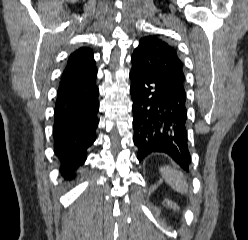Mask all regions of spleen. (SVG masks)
Instances as JSON below:
<instances>
[{"mask_svg": "<svg viewBox=\"0 0 248 240\" xmlns=\"http://www.w3.org/2000/svg\"><path fill=\"white\" fill-rule=\"evenodd\" d=\"M160 172L166 183H168L174 190L182 194L187 192V183L182 172L169 166L161 167Z\"/></svg>", "mask_w": 248, "mask_h": 240, "instance_id": "3e777b00", "label": "spleen"}]
</instances>
